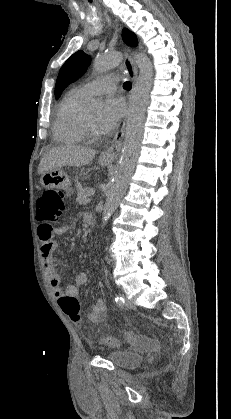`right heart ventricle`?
Listing matches in <instances>:
<instances>
[{"mask_svg": "<svg viewBox=\"0 0 231 419\" xmlns=\"http://www.w3.org/2000/svg\"><path fill=\"white\" fill-rule=\"evenodd\" d=\"M87 97L79 89H74L62 99L53 122V137L56 141L65 144H80L85 141L79 120Z\"/></svg>", "mask_w": 231, "mask_h": 419, "instance_id": "e07e8e85", "label": "right heart ventricle"}]
</instances>
